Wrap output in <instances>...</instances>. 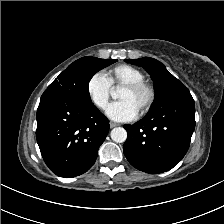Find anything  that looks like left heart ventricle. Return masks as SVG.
<instances>
[{"mask_svg": "<svg viewBox=\"0 0 224 224\" xmlns=\"http://www.w3.org/2000/svg\"><path fill=\"white\" fill-rule=\"evenodd\" d=\"M118 98L119 100H126L131 102L133 106L139 111L146 99V93L144 91L131 92L127 89L122 88L120 90Z\"/></svg>", "mask_w": 224, "mask_h": 224, "instance_id": "1", "label": "left heart ventricle"}]
</instances>
